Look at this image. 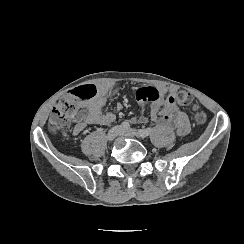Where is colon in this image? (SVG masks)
I'll list each match as a JSON object with an SVG mask.
<instances>
[{
	"mask_svg": "<svg viewBox=\"0 0 244 244\" xmlns=\"http://www.w3.org/2000/svg\"><path fill=\"white\" fill-rule=\"evenodd\" d=\"M98 87L96 85L83 86L80 85L72 90L74 99H82L83 97L96 96ZM70 95L60 98L53 108L50 116L49 126L53 130L66 129L80 115V110L74 104ZM171 101L182 106L193 105V97L186 91L179 89L171 96ZM207 120L206 114L197 106H193V122L195 125H203Z\"/></svg>",
	"mask_w": 244,
	"mask_h": 244,
	"instance_id": "obj_1",
	"label": "colon"
}]
</instances>
